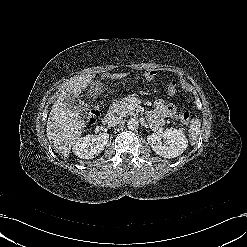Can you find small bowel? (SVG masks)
Segmentation results:
<instances>
[{"instance_id": "small-bowel-1", "label": "small bowel", "mask_w": 247, "mask_h": 247, "mask_svg": "<svg viewBox=\"0 0 247 247\" xmlns=\"http://www.w3.org/2000/svg\"><path fill=\"white\" fill-rule=\"evenodd\" d=\"M155 76V71L150 70L146 72L145 77L147 80H152ZM176 116V107L172 103L164 100H159L155 103L154 108L150 112L149 118L156 125H162L167 118Z\"/></svg>"}]
</instances>
